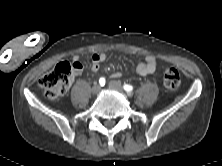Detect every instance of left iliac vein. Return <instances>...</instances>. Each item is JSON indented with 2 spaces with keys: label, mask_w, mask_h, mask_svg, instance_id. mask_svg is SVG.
<instances>
[{
  "label": "left iliac vein",
  "mask_w": 222,
  "mask_h": 166,
  "mask_svg": "<svg viewBox=\"0 0 222 166\" xmlns=\"http://www.w3.org/2000/svg\"><path fill=\"white\" fill-rule=\"evenodd\" d=\"M108 85L113 90H117L119 92L123 91L122 85L119 81H110ZM128 95H131V93H128Z\"/></svg>",
  "instance_id": "obj_1"
}]
</instances>
